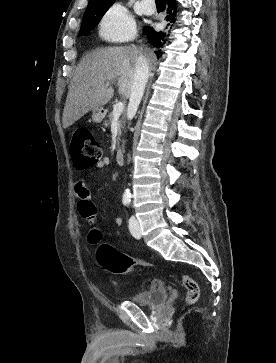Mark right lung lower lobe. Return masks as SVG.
I'll return each instance as SVG.
<instances>
[{
	"label": "right lung lower lobe",
	"instance_id": "obj_1",
	"mask_svg": "<svg viewBox=\"0 0 276 363\" xmlns=\"http://www.w3.org/2000/svg\"><path fill=\"white\" fill-rule=\"evenodd\" d=\"M176 11V1L167 0V19L170 21V23L175 22ZM143 33L147 35L148 41L152 44V46L157 49L156 54L161 53L169 34H167L165 31H156L152 27H144Z\"/></svg>",
	"mask_w": 276,
	"mask_h": 363
}]
</instances>
